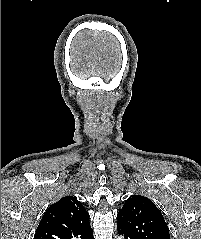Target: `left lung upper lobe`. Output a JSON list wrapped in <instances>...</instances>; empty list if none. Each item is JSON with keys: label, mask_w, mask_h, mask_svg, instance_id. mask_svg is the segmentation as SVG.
Listing matches in <instances>:
<instances>
[{"label": "left lung upper lobe", "mask_w": 201, "mask_h": 239, "mask_svg": "<svg viewBox=\"0 0 201 239\" xmlns=\"http://www.w3.org/2000/svg\"><path fill=\"white\" fill-rule=\"evenodd\" d=\"M117 218V227L136 239H170L169 229L161 211L144 196H130Z\"/></svg>", "instance_id": "obj_1"}]
</instances>
